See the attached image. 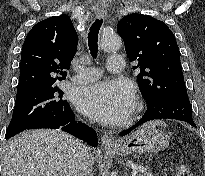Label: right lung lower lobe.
<instances>
[{
  "instance_id": "98d812e1",
  "label": "right lung lower lobe",
  "mask_w": 205,
  "mask_h": 176,
  "mask_svg": "<svg viewBox=\"0 0 205 176\" xmlns=\"http://www.w3.org/2000/svg\"><path fill=\"white\" fill-rule=\"evenodd\" d=\"M37 128L62 129L63 131L86 141L91 146L95 147L98 144L96 132L80 121H75V116L70 107L55 116L45 118L33 124L28 129Z\"/></svg>"
}]
</instances>
